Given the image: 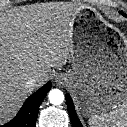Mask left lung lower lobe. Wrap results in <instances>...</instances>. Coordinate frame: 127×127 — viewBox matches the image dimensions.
Instances as JSON below:
<instances>
[{
  "label": "left lung lower lobe",
  "instance_id": "1",
  "mask_svg": "<svg viewBox=\"0 0 127 127\" xmlns=\"http://www.w3.org/2000/svg\"><path fill=\"white\" fill-rule=\"evenodd\" d=\"M66 104L69 111L72 127H83L76 114L73 101L69 94L66 95Z\"/></svg>",
  "mask_w": 127,
  "mask_h": 127
}]
</instances>
